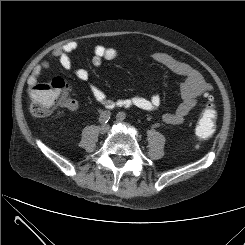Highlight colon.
Wrapping results in <instances>:
<instances>
[{
  "instance_id": "1",
  "label": "colon",
  "mask_w": 245,
  "mask_h": 245,
  "mask_svg": "<svg viewBox=\"0 0 245 245\" xmlns=\"http://www.w3.org/2000/svg\"><path fill=\"white\" fill-rule=\"evenodd\" d=\"M28 94L30 108L35 116H48L55 107H70L72 105L68 94V84L61 78L36 82L29 87ZM204 96L207 100L206 108L195 127L198 141H205L212 136L217 120L212 95L206 92Z\"/></svg>"
}]
</instances>
